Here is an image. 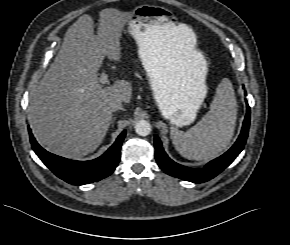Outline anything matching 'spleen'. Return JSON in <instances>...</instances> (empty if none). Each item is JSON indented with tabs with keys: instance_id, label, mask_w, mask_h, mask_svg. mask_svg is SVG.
Returning a JSON list of instances; mask_svg holds the SVG:
<instances>
[{
	"instance_id": "3e777b00",
	"label": "spleen",
	"mask_w": 290,
	"mask_h": 245,
	"mask_svg": "<svg viewBox=\"0 0 290 245\" xmlns=\"http://www.w3.org/2000/svg\"><path fill=\"white\" fill-rule=\"evenodd\" d=\"M237 103L231 82L224 79L217 87L210 110L188 131L171 129L176 150L190 160H208L223 152L235 130Z\"/></svg>"
}]
</instances>
